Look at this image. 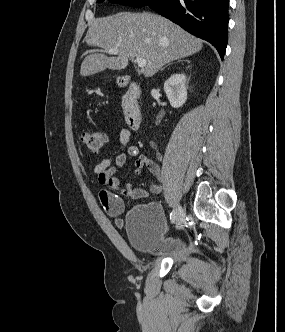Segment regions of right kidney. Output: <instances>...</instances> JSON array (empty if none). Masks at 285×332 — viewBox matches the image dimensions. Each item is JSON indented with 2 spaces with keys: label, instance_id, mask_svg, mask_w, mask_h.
<instances>
[{
  "label": "right kidney",
  "instance_id": "ca27d5eb",
  "mask_svg": "<svg viewBox=\"0 0 285 332\" xmlns=\"http://www.w3.org/2000/svg\"><path fill=\"white\" fill-rule=\"evenodd\" d=\"M186 76L184 74H173L164 83V91L173 108L181 107L187 100L185 87Z\"/></svg>",
  "mask_w": 285,
  "mask_h": 332
}]
</instances>
